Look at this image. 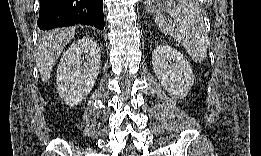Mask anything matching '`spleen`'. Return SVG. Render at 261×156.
<instances>
[{
	"label": "spleen",
	"mask_w": 261,
	"mask_h": 156,
	"mask_svg": "<svg viewBox=\"0 0 261 156\" xmlns=\"http://www.w3.org/2000/svg\"><path fill=\"white\" fill-rule=\"evenodd\" d=\"M162 6L158 3V7ZM162 12L170 15L168 22ZM155 23L162 32L170 35L185 48L190 58L202 62L207 55V34L201 11L194 1L180 0L176 4L165 2L162 10H157Z\"/></svg>",
	"instance_id": "spleen-1"
}]
</instances>
